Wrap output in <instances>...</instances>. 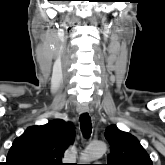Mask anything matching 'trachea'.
<instances>
[{
	"mask_svg": "<svg viewBox=\"0 0 165 165\" xmlns=\"http://www.w3.org/2000/svg\"><path fill=\"white\" fill-rule=\"evenodd\" d=\"M80 127L82 130L83 136L88 139L92 133V123L91 118L88 113H84L80 116Z\"/></svg>",
	"mask_w": 165,
	"mask_h": 165,
	"instance_id": "1",
	"label": "trachea"
}]
</instances>
